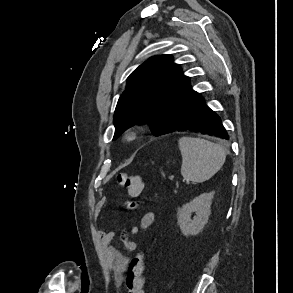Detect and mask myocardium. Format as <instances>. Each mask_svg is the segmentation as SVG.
<instances>
[{"label":"myocardium","mask_w":293,"mask_h":293,"mask_svg":"<svg viewBox=\"0 0 293 293\" xmlns=\"http://www.w3.org/2000/svg\"><path fill=\"white\" fill-rule=\"evenodd\" d=\"M138 136V130L136 128H131L127 132V138L130 140L136 139Z\"/></svg>","instance_id":"myocardium-1"}]
</instances>
